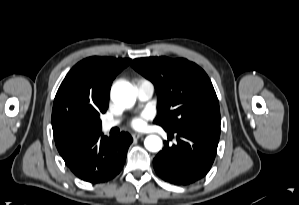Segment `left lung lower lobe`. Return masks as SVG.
Instances as JSON below:
<instances>
[{
	"instance_id": "1",
	"label": "left lung lower lobe",
	"mask_w": 299,
	"mask_h": 205,
	"mask_svg": "<svg viewBox=\"0 0 299 205\" xmlns=\"http://www.w3.org/2000/svg\"><path fill=\"white\" fill-rule=\"evenodd\" d=\"M175 134L177 144L165 147L153 160V166L164 181L189 185L203 178L210 170L220 137V123L165 129Z\"/></svg>"
}]
</instances>
